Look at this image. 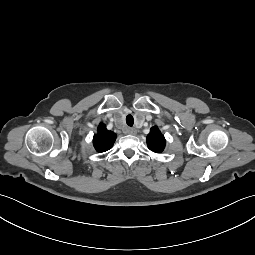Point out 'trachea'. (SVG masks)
I'll use <instances>...</instances> for the list:
<instances>
[{
	"label": "trachea",
	"mask_w": 255,
	"mask_h": 255,
	"mask_svg": "<svg viewBox=\"0 0 255 255\" xmlns=\"http://www.w3.org/2000/svg\"><path fill=\"white\" fill-rule=\"evenodd\" d=\"M126 123L128 126L132 127L134 124V119L132 115H127L126 117Z\"/></svg>",
	"instance_id": "obj_1"
}]
</instances>
